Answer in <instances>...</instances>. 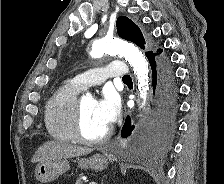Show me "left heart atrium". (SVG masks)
Listing matches in <instances>:
<instances>
[{
    "instance_id": "39dd6f15",
    "label": "left heart atrium",
    "mask_w": 224,
    "mask_h": 184,
    "mask_svg": "<svg viewBox=\"0 0 224 184\" xmlns=\"http://www.w3.org/2000/svg\"><path fill=\"white\" fill-rule=\"evenodd\" d=\"M119 111V102L113 94L105 93L96 101L95 112L100 121L108 127L116 121Z\"/></svg>"
}]
</instances>
